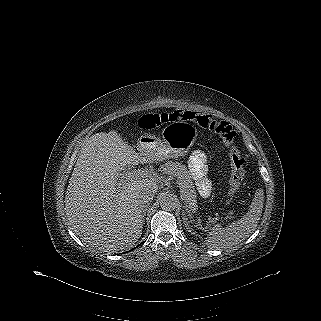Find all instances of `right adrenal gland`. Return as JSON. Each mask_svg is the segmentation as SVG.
I'll return each instance as SVG.
<instances>
[{"label": "right adrenal gland", "instance_id": "1", "mask_svg": "<svg viewBox=\"0 0 321 321\" xmlns=\"http://www.w3.org/2000/svg\"><path fill=\"white\" fill-rule=\"evenodd\" d=\"M147 208H148V206L146 205V206H144V208H143V220H144V217H145V215H146V211H147Z\"/></svg>", "mask_w": 321, "mask_h": 321}]
</instances>
